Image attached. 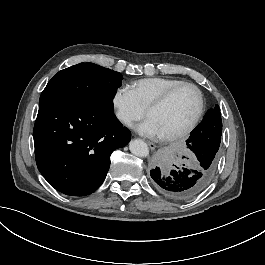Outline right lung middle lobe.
<instances>
[{"label":"right lung middle lobe","mask_w":265,"mask_h":265,"mask_svg":"<svg viewBox=\"0 0 265 265\" xmlns=\"http://www.w3.org/2000/svg\"><path fill=\"white\" fill-rule=\"evenodd\" d=\"M122 75L93 63H80L59 71L40 100L56 98L113 112V98Z\"/></svg>","instance_id":"right-lung-middle-lobe-1"}]
</instances>
